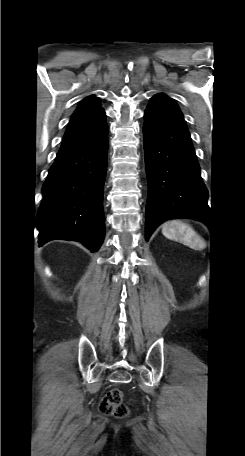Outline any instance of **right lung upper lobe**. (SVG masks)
Listing matches in <instances>:
<instances>
[{
	"label": "right lung upper lobe",
	"mask_w": 245,
	"mask_h": 456,
	"mask_svg": "<svg viewBox=\"0 0 245 456\" xmlns=\"http://www.w3.org/2000/svg\"><path fill=\"white\" fill-rule=\"evenodd\" d=\"M105 124V112L101 108L98 98L86 97L71 116L59 152L92 143L98 138Z\"/></svg>",
	"instance_id": "cb5924a9"
}]
</instances>
